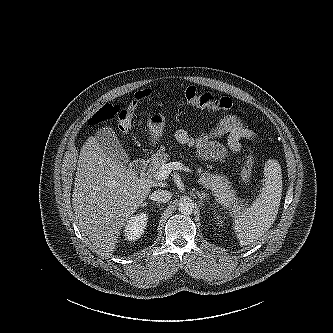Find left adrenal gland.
Masks as SVG:
<instances>
[{
	"instance_id": "1",
	"label": "left adrenal gland",
	"mask_w": 333,
	"mask_h": 333,
	"mask_svg": "<svg viewBox=\"0 0 333 333\" xmlns=\"http://www.w3.org/2000/svg\"><path fill=\"white\" fill-rule=\"evenodd\" d=\"M195 193L199 197V199L201 200V202H203L204 200H208L209 199L208 194L205 193V192H203V191H196Z\"/></svg>"
}]
</instances>
